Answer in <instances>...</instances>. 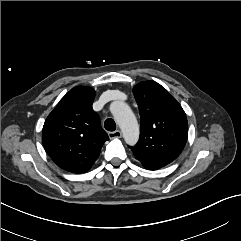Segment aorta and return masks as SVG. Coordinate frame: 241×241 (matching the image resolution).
<instances>
[{
  "instance_id": "1",
  "label": "aorta",
  "mask_w": 241,
  "mask_h": 241,
  "mask_svg": "<svg viewBox=\"0 0 241 241\" xmlns=\"http://www.w3.org/2000/svg\"><path fill=\"white\" fill-rule=\"evenodd\" d=\"M111 112L119 125L125 142L134 145L139 139V126L130 107L121 101H115L111 105Z\"/></svg>"
}]
</instances>
